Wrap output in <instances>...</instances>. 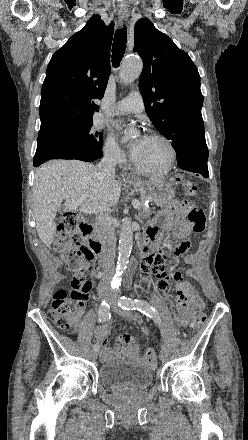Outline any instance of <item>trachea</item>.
Instances as JSON below:
<instances>
[{"label":"trachea","mask_w":248,"mask_h":440,"mask_svg":"<svg viewBox=\"0 0 248 440\" xmlns=\"http://www.w3.org/2000/svg\"><path fill=\"white\" fill-rule=\"evenodd\" d=\"M127 42V30L126 26L116 30L113 47H112V64L114 68H117L124 56Z\"/></svg>","instance_id":"3493384b"}]
</instances>
